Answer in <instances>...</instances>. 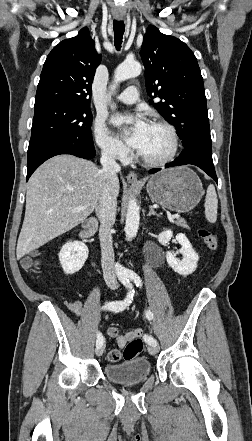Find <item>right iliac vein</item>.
I'll list each match as a JSON object with an SVG mask.
<instances>
[{"mask_svg":"<svg viewBox=\"0 0 252 441\" xmlns=\"http://www.w3.org/2000/svg\"><path fill=\"white\" fill-rule=\"evenodd\" d=\"M104 352V345L96 349V355L101 356Z\"/></svg>","mask_w":252,"mask_h":441,"instance_id":"right-iliac-vein-1","label":"right iliac vein"}]
</instances>
